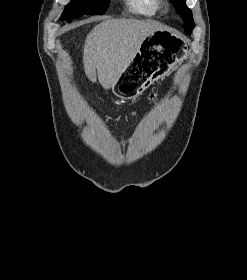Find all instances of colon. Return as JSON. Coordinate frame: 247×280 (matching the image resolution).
<instances>
[{
	"label": "colon",
	"instance_id": "colon-1",
	"mask_svg": "<svg viewBox=\"0 0 247 280\" xmlns=\"http://www.w3.org/2000/svg\"><path fill=\"white\" fill-rule=\"evenodd\" d=\"M150 99H151L152 101H154V100L156 99V96H155L154 94H152V95L150 96Z\"/></svg>",
	"mask_w": 247,
	"mask_h": 280
}]
</instances>
